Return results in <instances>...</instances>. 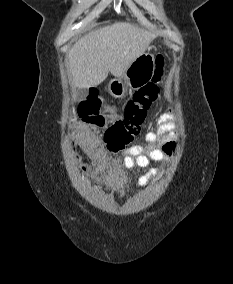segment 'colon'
Returning a JSON list of instances; mask_svg holds the SVG:
<instances>
[{"label": "colon", "instance_id": "5ec220e1", "mask_svg": "<svg viewBox=\"0 0 233 284\" xmlns=\"http://www.w3.org/2000/svg\"><path fill=\"white\" fill-rule=\"evenodd\" d=\"M166 66L163 54L154 59V72L151 81L144 84L128 100L123 115L107 127L104 132V144L108 151L118 152L130 144L141 132L148 109L157 99ZM81 119L96 128L105 125L101 114V101L97 96H90L79 106Z\"/></svg>", "mask_w": 233, "mask_h": 284}]
</instances>
